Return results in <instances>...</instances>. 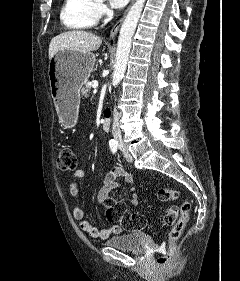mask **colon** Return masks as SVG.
<instances>
[{
    "mask_svg": "<svg viewBox=\"0 0 240 281\" xmlns=\"http://www.w3.org/2000/svg\"><path fill=\"white\" fill-rule=\"evenodd\" d=\"M76 166L77 159L74 152L69 148L62 149L57 157V167L61 171H73ZM158 197L162 201H176L179 199V193L175 189L161 188L158 191ZM104 205L107 219L110 222L117 223L127 231L141 230L147 225V220L143 215L129 212L123 202L107 199ZM189 215L190 203L187 200L181 201L179 205H172L165 211V223L174 225L169 231L167 245L159 248V256L156 258L157 266L165 267L170 263L172 254L188 222Z\"/></svg>",
    "mask_w": 240,
    "mask_h": 281,
    "instance_id": "obj_1",
    "label": "colon"
}]
</instances>
